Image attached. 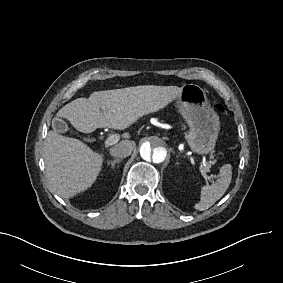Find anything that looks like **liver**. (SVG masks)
<instances>
[{"mask_svg": "<svg viewBox=\"0 0 283 283\" xmlns=\"http://www.w3.org/2000/svg\"><path fill=\"white\" fill-rule=\"evenodd\" d=\"M181 92L182 88L177 86L155 85L93 92L89 98H77L65 105L57 117L66 118L83 133L105 127L123 130L140 117L163 109ZM44 162L52 189L62 198H70L91 187L101 170L103 157L78 139L49 131Z\"/></svg>", "mask_w": 283, "mask_h": 283, "instance_id": "1", "label": "liver"}]
</instances>
